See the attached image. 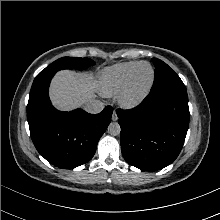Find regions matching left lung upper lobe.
<instances>
[{"mask_svg":"<svg viewBox=\"0 0 220 220\" xmlns=\"http://www.w3.org/2000/svg\"><path fill=\"white\" fill-rule=\"evenodd\" d=\"M155 80L151 88L154 94H170L188 99L186 87L180 77L163 61L153 58Z\"/></svg>","mask_w":220,"mask_h":220,"instance_id":"obj_1","label":"left lung upper lobe"}]
</instances>
